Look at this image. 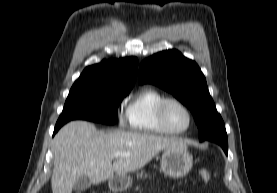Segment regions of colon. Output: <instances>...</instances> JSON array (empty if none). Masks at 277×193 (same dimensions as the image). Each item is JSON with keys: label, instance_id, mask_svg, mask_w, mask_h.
<instances>
[{"label": "colon", "instance_id": "5ec220e1", "mask_svg": "<svg viewBox=\"0 0 277 193\" xmlns=\"http://www.w3.org/2000/svg\"><path fill=\"white\" fill-rule=\"evenodd\" d=\"M199 173L203 182L208 183L211 180V174L208 170L201 169Z\"/></svg>", "mask_w": 277, "mask_h": 193}]
</instances>
